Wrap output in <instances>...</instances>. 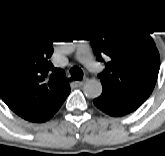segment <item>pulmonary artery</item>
<instances>
[{
    "mask_svg": "<svg viewBox=\"0 0 165 156\" xmlns=\"http://www.w3.org/2000/svg\"><path fill=\"white\" fill-rule=\"evenodd\" d=\"M77 59L93 72H101L102 68L98 66L90 57L86 50H80L77 53Z\"/></svg>",
    "mask_w": 165,
    "mask_h": 156,
    "instance_id": "pulmonary-artery-1",
    "label": "pulmonary artery"
}]
</instances>
